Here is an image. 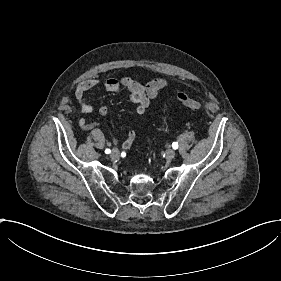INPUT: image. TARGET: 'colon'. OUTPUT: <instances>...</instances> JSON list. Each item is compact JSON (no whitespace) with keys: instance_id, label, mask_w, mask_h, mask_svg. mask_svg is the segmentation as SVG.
<instances>
[{"instance_id":"colon-1","label":"colon","mask_w":281,"mask_h":281,"mask_svg":"<svg viewBox=\"0 0 281 281\" xmlns=\"http://www.w3.org/2000/svg\"><path fill=\"white\" fill-rule=\"evenodd\" d=\"M180 104L191 112H201L203 105L199 99L189 96L186 93H180L178 95Z\"/></svg>"}]
</instances>
